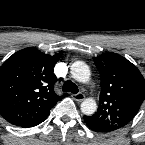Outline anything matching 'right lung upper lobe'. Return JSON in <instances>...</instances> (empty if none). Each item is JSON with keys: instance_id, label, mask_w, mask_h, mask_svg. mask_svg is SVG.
Segmentation results:
<instances>
[{"instance_id": "obj_1", "label": "right lung upper lobe", "mask_w": 145, "mask_h": 145, "mask_svg": "<svg viewBox=\"0 0 145 145\" xmlns=\"http://www.w3.org/2000/svg\"><path fill=\"white\" fill-rule=\"evenodd\" d=\"M60 54L35 48L14 53L0 67V114L9 123L24 127L46 117L67 93L54 92V66Z\"/></svg>"}]
</instances>
